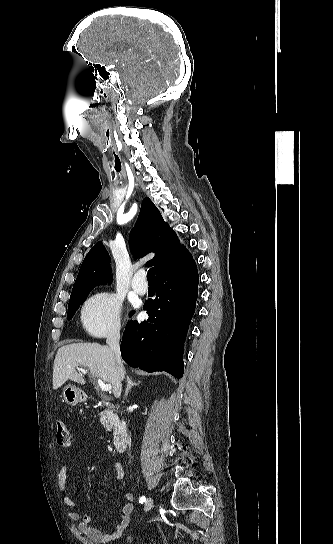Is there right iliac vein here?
I'll return each mask as SVG.
<instances>
[{
    "instance_id": "1",
    "label": "right iliac vein",
    "mask_w": 333,
    "mask_h": 544,
    "mask_svg": "<svg viewBox=\"0 0 333 544\" xmlns=\"http://www.w3.org/2000/svg\"><path fill=\"white\" fill-rule=\"evenodd\" d=\"M153 506V499L152 497H149L147 501L145 502L144 511L148 512Z\"/></svg>"
}]
</instances>
